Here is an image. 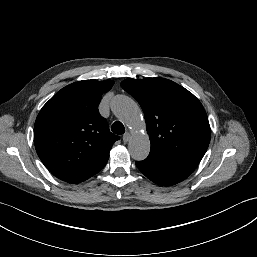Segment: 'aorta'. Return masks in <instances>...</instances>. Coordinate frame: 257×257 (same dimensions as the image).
Listing matches in <instances>:
<instances>
[{
    "label": "aorta",
    "mask_w": 257,
    "mask_h": 257,
    "mask_svg": "<svg viewBox=\"0 0 257 257\" xmlns=\"http://www.w3.org/2000/svg\"><path fill=\"white\" fill-rule=\"evenodd\" d=\"M111 109L134 132L128 144L132 158L138 161L147 158L150 140L146 133L140 132L145 128V122L137 103L127 96L118 95L112 100Z\"/></svg>",
    "instance_id": "762f6f07"
}]
</instances>
